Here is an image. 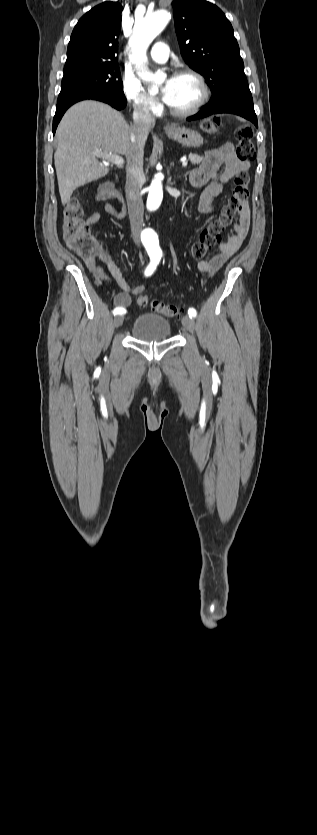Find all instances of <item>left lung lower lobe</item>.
I'll return each mask as SVG.
<instances>
[{
  "mask_svg": "<svg viewBox=\"0 0 317 835\" xmlns=\"http://www.w3.org/2000/svg\"><path fill=\"white\" fill-rule=\"evenodd\" d=\"M217 113H232L239 115L251 121L258 128L257 116L254 111L253 99L244 96L231 97L218 105L208 103L207 105L203 106L202 110L199 113L191 117H188L187 120H197Z\"/></svg>",
  "mask_w": 317,
  "mask_h": 835,
  "instance_id": "left-lung-lower-lobe-1",
  "label": "left lung lower lobe"
}]
</instances>
